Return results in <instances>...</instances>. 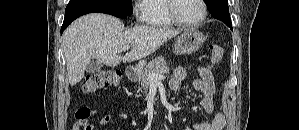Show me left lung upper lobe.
Wrapping results in <instances>:
<instances>
[{
	"mask_svg": "<svg viewBox=\"0 0 299 130\" xmlns=\"http://www.w3.org/2000/svg\"><path fill=\"white\" fill-rule=\"evenodd\" d=\"M205 3L214 17L230 18L227 0H205Z\"/></svg>",
	"mask_w": 299,
	"mask_h": 130,
	"instance_id": "5c2ea615",
	"label": "left lung upper lobe"
}]
</instances>
